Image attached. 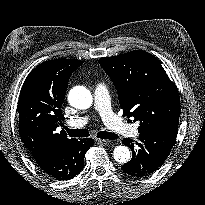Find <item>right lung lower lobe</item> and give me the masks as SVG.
<instances>
[{
	"label": "right lung lower lobe",
	"mask_w": 205,
	"mask_h": 205,
	"mask_svg": "<svg viewBox=\"0 0 205 205\" xmlns=\"http://www.w3.org/2000/svg\"><path fill=\"white\" fill-rule=\"evenodd\" d=\"M94 144L91 138L73 140L60 150L36 161L39 168L57 180H68L78 175L84 167L86 151Z\"/></svg>",
	"instance_id": "right-lung-lower-lobe-1"
}]
</instances>
